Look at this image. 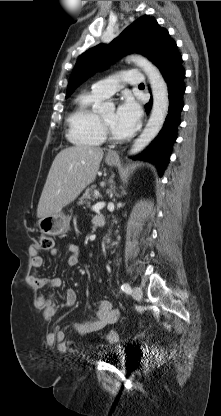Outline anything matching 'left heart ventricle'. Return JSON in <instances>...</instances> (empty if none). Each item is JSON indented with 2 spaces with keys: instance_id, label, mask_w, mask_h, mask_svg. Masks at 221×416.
Returning a JSON list of instances; mask_svg holds the SVG:
<instances>
[{
  "instance_id": "left-heart-ventricle-1",
  "label": "left heart ventricle",
  "mask_w": 221,
  "mask_h": 416,
  "mask_svg": "<svg viewBox=\"0 0 221 416\" xmlns=\"http://www.w3.org/2000/svg\"><path fill=\"white\" fill-rule=\"evenodd\" d=\"M103 120L108 124L112 133L117 137H123V135L119 132L115 124V111L114 109L108 110L101 114Z\"/></svg>"
}]
</instances>
